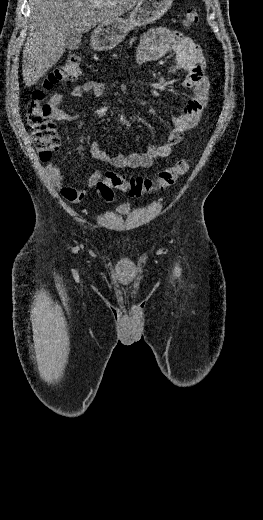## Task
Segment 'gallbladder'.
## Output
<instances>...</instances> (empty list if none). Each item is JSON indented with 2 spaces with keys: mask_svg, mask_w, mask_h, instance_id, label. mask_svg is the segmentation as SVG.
<instances>
[{
  "mask_svg": "<svg viewBox=\"0 0 263 520\" xmlns=\"http://www.w3.org/2000/svg\"><path fill=\"white\" fill-rule=\"evenodd\" d=\"M81 34L71 33L66 35L65 42H66V48L68 50H76L79 48L81 44Z\"/></svg>",
  "mask_w": 263,
  "mask_h": 520,
  "instance_id": "obj_1",
  "label": "gallbladder"
}]
</instances>
